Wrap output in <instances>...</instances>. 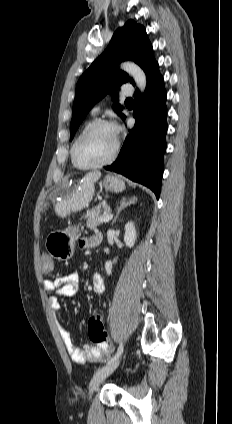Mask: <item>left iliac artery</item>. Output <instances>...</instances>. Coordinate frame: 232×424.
<instances>
[{"instance_id": "1", "label": "left iliac artery", "mask_w": 232, "mask_h": 424, "mask_svg": "<svg viewBox=\"0 0 232 424\" xmlns=\"http://www.w3.org/2000/svg\"><path fill=\"white\" fill-rule=\"evenodd\" d=\"M122 352H123V344L120 343L116 354L108 361V363L118 359L121 356Z\"/></svg>"}]
</instances>
